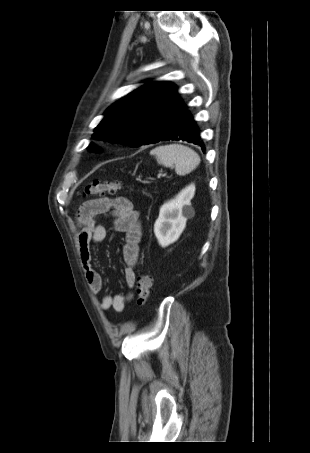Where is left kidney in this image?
Returning a JSON list of instances; mask_svg holds the SVG:
<instances>
[{
	"label": "left kidney",
	"instance_id": "left-kidney-1",
	"mask_svg": "<svg viewBox=\"0 0 310 453\" xmlns=\"http://www.w3.org/2000/svg\"><path fill=\"white\" fill-rule=\"evenodd\" d=\"M194 195L195 185L190 184L160 208L154 233L161 247L165 248L176 242L184 231L188 218L194 216L195 212L191 206Z\"/></svg>",
	"mask_w": 310,
	"mask_h": 453
}]
</instances>
